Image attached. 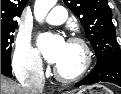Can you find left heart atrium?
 I'll use <instances>...</instances> for the list:
<instances>
[{"mask_svg":"<svg viewBox=\"0 0 121 94\" xmlns=\"http://www.w3.org/2000/svg\"><path fill=\"white\" fill-rule=\"evenodd\" d=\"M38 42L46 60L57 64L65 51L67 44L65 40L60 36L45 34L39 37Z\"/></svg>","mask_w":121,"mask_h":94,"instance_id":"left-heart-atrium-1","label":"left heart atrium"}]
</instances>
